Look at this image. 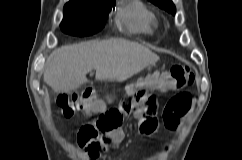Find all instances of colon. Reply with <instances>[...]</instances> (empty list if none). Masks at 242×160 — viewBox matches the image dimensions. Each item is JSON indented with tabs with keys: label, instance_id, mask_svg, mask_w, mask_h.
Here are the masks:
<instances>
[{
	"label": "colon",
	"instance_id": "obj_1",
	"mask_svg": "<svg viewBox=\"0 0 242 160\" xmlns=\"http://www.w3.org/2000/svg\"><path fill=\"white\" fill-rule=\"evenodd\" d=\"M194 82V74L188 65H175L161 73L154 74L128 87V96L124 99L122 109L111 108L100 113L97 119L80 127L79 138L82 145L92 149L99 147L102 136L118 129L124 114L134 113L144 120L142 131L152 133L157 128L155 118L157 101L156 93L176 91L164 111V119L172 126L176 117H181L191 106L190 95L184 91ZM59 113L71 118L77 113L99 112L100 106L92 90L79 93L62 94L57 99Z\"/></svg>",
	"mask_w": 242,
	"mask_h": 160
}]
</instances>
